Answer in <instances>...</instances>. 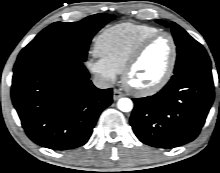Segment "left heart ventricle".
Listing matches in <instances>:
<instances>
[{"mask_svg":"<svg viewBox=\"0 0 220 173\" xmlns=\"http://www.w3.org/2000/svg\"><path fill=\"white\" fill-rule=\"evenodd\" d=\"M171 59V43L167 37L152 42L129 75V83L146 88L156 83L166 72Z\"/></svg>","mask_w":220,"mask_h":173,"instance_id":"b2bd125f","label":"left heart ventricle"}]
</instances>
